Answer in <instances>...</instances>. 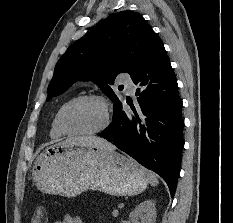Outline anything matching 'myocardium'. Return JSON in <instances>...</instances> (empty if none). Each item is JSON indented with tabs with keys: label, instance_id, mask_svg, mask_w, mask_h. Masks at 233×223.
Instances as JSON below:
<instances>
[{
	"label": "myocardium",
	"instance_id": "1",
	"mask_svg": "<svg viewBox=\"0 0 233 223\" xmlns=\"http://www.w3.org/2000/svg\"><path fill=\"white\" fill-rule=\"evenodd\" d=\"M98 101L102 104L104 111H105V122L103 124V126L101 128H99L96 131L93 132H86V133H82V132H74L72 130H70L65 122V117H66V113L68 112V110L75 105L76 103L82 102V101ZM111 124V114L109 111V107L107 104L106 99L101 96V95H96V94H88V95H80L77 97H74L72 99H70L59 111L58 116H57V127L58 129L64 133L65 135L68 136H74V137H92V136H96V135H100L103 132H105L109 126Z\"/></svg>",
	"mask_w": 233,
	"mask_h": 223
}]
</instances>
